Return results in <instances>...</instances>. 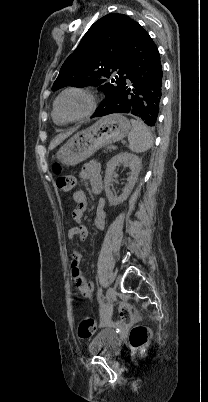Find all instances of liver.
Here are the masks:
<instances>
[{"label": "liver", "instance_id": "6515ba94", "mask_svg": "<svg viewBox=\"0 0 208 402\" xmlns=\"http://www.w3.org/2000/svg\"><path fill=\"white\" fill-rule=\"evenodd\" d=\"M75 130H77V128H72V130H70V132H66V134H59V136H56V138H54V140H52V142L49 146V150H54V148H56V146H59V144H61V142H63V140H66V138H68V136H71V134H73V132H75Z\"/></svg>", "mask_w": 208, "mask_h": 402}]
</instances>
